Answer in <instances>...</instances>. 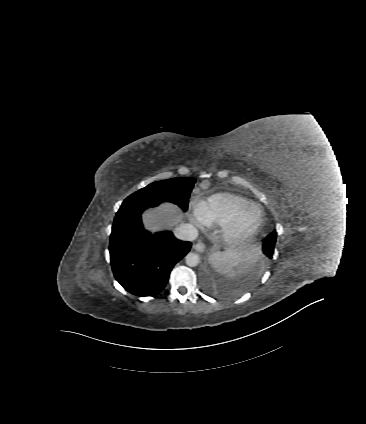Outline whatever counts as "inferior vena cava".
Returning <instances> with one entry per match:
<instances>
[{"mask_svg":"<svg viewBox=\"0 0 366 424\" xmlns=\"http://www.w3.org/2000/svg\"><path fill=\"white\" fill-rule=\"evenodd\" d=\"M174 233L182 241H194L198 237V230L190 223L180 225Z\"/></svg>","mask_w":366,"mask_h":424,"instance_id":"1","label":"inferior vena cava"}]
</instances>
